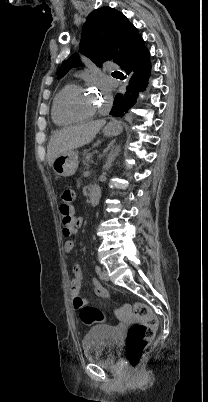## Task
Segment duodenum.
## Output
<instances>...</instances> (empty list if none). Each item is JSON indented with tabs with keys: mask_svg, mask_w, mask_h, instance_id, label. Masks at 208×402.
<instances>
[{
	"mask_svg": "<svg viewBox=\"0 0 208 402\" xmlns=\"http://www.w3.org/2000/svg\"><path fill=\"white\" fill-rule=\"evenodd\" d=\"M99 198H100V189L97 186H93L90 189V193H89L90 203L92 205H96L99 201Z\"/></svg>",
	"mask_w": 208,
	"mask_h": 402,
	"instance_id": "duodenum-1",
	"label": "duodenum"
}]
</instances>
